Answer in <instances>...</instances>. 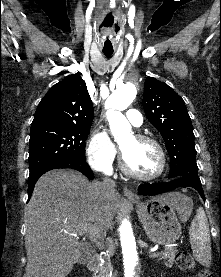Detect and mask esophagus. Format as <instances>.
<instances>
[{"instance_id": "34e87169", "label": "esophagus", "mask_w": 221, "mask_h": 277, "mask_svg": "<svg viewBox=\"0 0 221 277\" xmlns=\"http://www.w3.org/2000/svg\"><path fill=\"white\" fill-rule=\"evenodd\" d=\"M123 192L127 198L132 199V200L137 199L136 195L128 188H124Z\"/></svg>"}]
</instances>
